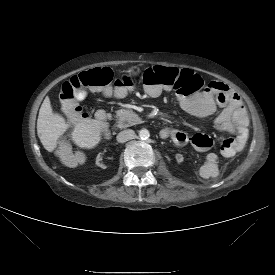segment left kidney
<instances>
[{
  "label": "left kidney",
  "mask_w": 275,
  "mask_h": 275,
  "mask_svg": "<svg viewBox=\"0 0 275 275\" xmlns=\"http://www.w3.org/2000/svg\"><path fill=\"white\" fill-rule=\"evenodd\" d=\"M176 159H177V161H178V163H181V162H183V160H184V157H183V155L182 154H176Z\"/></svg>",
  "instance_id": "obj_1"
}]
</instances>
